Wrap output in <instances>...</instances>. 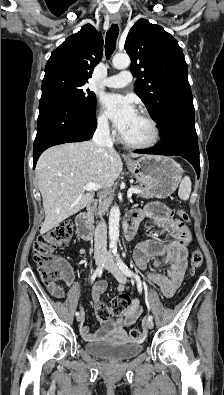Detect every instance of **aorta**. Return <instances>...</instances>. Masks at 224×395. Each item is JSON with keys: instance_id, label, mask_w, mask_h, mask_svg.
<instances>
[{"instance_id": "aorta-1", "label": "aorta", "mask_w": 224, "mask_h": 395, "mask_svg": "<svg viewBox=\"0 0 224 395\" xmlns=\"http://www.w3.org/2000/svg\"><path fill=\"white\" fill-rule=\"evenodd\" d=\"M113 67L116 69H125L130 65V57L127 54H116L112 60ZM119 220L120 210L118 206H113L109 215V248L117 250L119 239Z\"/></svg>"}]
</instances>
